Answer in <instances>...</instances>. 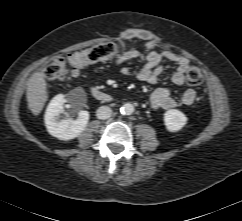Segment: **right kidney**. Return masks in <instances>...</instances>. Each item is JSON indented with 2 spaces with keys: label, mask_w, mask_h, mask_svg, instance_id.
Listing matches in <instances>:
<instances>
[{
  "label": "right kidney",
  "mask_w": 242,
  "mask_h": 221,
  "mask_svg": "<svg viewBox=\"0 0 242 221\" xmlns=\"http://www.w3.org/2000/svg\"><path fill=\"white\" fill-rule=\"evenodd\" d=\"M68 107H76L77 103L72 99H66L63 94L56 95L49 103L45 113V126L50 135L60 140H71L83 132L89 120V113L80 110L77 119H60L64 111V104Z\"/></svg>",
  "instance_id": "1"
}]
</instances>
